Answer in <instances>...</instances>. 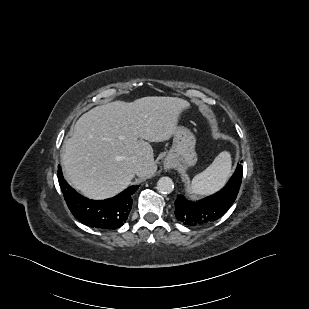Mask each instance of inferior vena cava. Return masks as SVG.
I'll return each mask as SVG.
<instances>
[{"mask_svg":"<svg viewBox=\"0 0 309 309\" xmlns=\"http://www.w3.org/2000/svg\"><path fill=\"white\" fill-rule=\"evenodd\" d=\"M132 162L135 165V172L138 173L141 170V163L137 158H132Z\"/></svg>","mask_w":309,"mask_h":309,"instance_id":"obj_1","label":"inferior vena cava"}]
</instances>
